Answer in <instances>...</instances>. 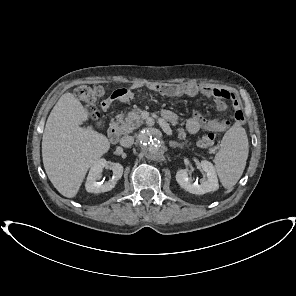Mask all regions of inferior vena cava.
Masks as SVG:
<instances>
[{
    "label": "inferior vena cava",
    "instance_id": "1",
    "mask_svg": "<svg viewBox=\"0 0 296 296\" xmlns=\"http://www.w3.org/2000/svg\"><path fill=\"white\" fill-rule=\"evenodd\" d=\"M134 143V138L132 136H124L120 139V145L123 147H131Z\"/></svg>",
    "mask_w": 296,
    "mask_h": 296
}]
</instances>
